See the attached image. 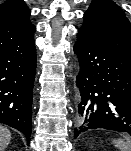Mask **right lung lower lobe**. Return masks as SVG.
<instances>
[{
    "instance_id": "1",
    "label": "right lung lower lobe",
    "mask_w": 131,
    "mask_h": 151,
    "mask_svg": "<svg viewBox=\"0 0 131 151\" xmlns=\"http://www.w3.org/2000/svg\"><path fill=\"white\" fill-rule=\"evenodd\" d=\"M34 32L0 37V123L24 133L28 142L37 62Z\"/></svg>"
}]
</instances>
